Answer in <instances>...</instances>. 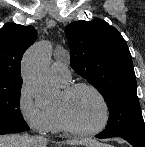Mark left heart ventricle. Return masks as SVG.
Segmentation results:
<instances>
[{
    "label": "left heart ventricle",
    "instance_id": "1",
    "mask_svg": "<svg viewBox=\"0 0 145 147\" xmlns=\"http://www.w3.org/2000/svg\"><path fill=\"white\" fill-rule=\"evenodd\" d=\"M55 107L61 108L67 120L81 130L99 126L104 118L100 100L88 89H80L69 97L62 93Z\"/></svg>",
    "mask_w": 145,
    "mask_h": 147
}]
</instances>
